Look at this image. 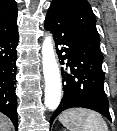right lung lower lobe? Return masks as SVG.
<instances>
[{"label":"right lung lower lobe","mask_w":117,"mask_h":131,"mask_svg":"<svg viewBox=\"0 0 117 131\" xmlns=\"http://www.w3.org/2000/svg\"><path fill=\"white\" fill-rule=\"evenodd\" d=\"M17 28L0 37V111L18 127L17 100L15 94Z\"/></svg>","instance_id":"right-lung-lower-lobe-1"}]
</instances>
